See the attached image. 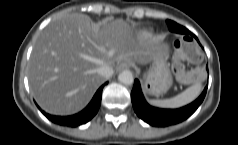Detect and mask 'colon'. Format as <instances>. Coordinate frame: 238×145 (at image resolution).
Listing matches in <instances>:
<instances>
[{
    "instance_id": "obj_1",
    "label": "colon",
    "mask_w": 238,
    "mask_h": 145,
    "mask_svg": "<svg viewBox=\"0 0 238 145\" xmlns=\"http://www.w3.org/2000/svg\"><path fill=\"white\" fill-rule=\"evenodd\" d=\"M201 52L196 43L190 39H183L175 43V53L172 63V71L175 77L182 83L190 84L198 82L203 77V71L193 69L187 71L184 63H198L201 61Z\"/></svg>"
}]
</instances>
